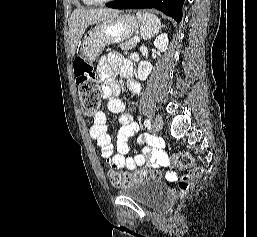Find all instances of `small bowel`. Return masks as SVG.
Here are the masks:
<instances>
[{
    "label": "small bowel",
    "mask_w": 257,
    "mask_h": 237,
    "mask_svg": "<svg viewBox=\"0 0 257 237\" xmlns=\"http://www.w3.org/2000/svg\"><path fill=\"white\" fill-rule=\"evenodd\" d=\"M112 69H117L119 73L127 77L129 90L136 94L140 90V85L131 79L133 75V66L129 60H124L118 52H107L99 61L98 73L102 85V93L106 100V107L108 111L119 114L120 130L117 137L116 149L117 153L114 154V146L111 138L107 133V120L105 113L99 111L93 117V124L89 129L90 137L97 143L100 148L101 157L106 162L117 169L134 170L138 166L149 159L150 166L154 168H165L169 165V160L163 151V143L158 138H140L139 143H146L147 145L140 151H135L132 157L128 156L129 145L128 140L136 135L139 131V125L133 119V114L138 107V99L132 98L129 104V111L125 112V105L123 101L114 97L118 92L119 85L112 78ZM170 179L175 178V174L168 173Z\"/></svg>",
    "instance_id": "obj_1"
}]
</instances>
